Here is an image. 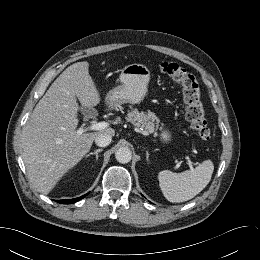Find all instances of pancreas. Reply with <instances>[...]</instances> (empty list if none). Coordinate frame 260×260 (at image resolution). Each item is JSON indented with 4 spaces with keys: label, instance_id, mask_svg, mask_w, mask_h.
I'll return each instance as SVG.
<instances>
[{
    "label": "pancreas",
    "instance_id": "obj_1",
    "mask_svg": "<svg viewBox=\"0 0 260 260\" xmlns=\"http://www.w3.org/2000/svg\"><path fill=\"white\" fill-rule=\"evenodd\" d=\"M126 120L138 127L144 128L148 133H154L155 136L157 135L156 130L158 128L159 119L152 112L145 113L134 109L128 112Z\"/></svg>",
    "mask_w": 260,
    "mask_h": 260
}]
</instances>
